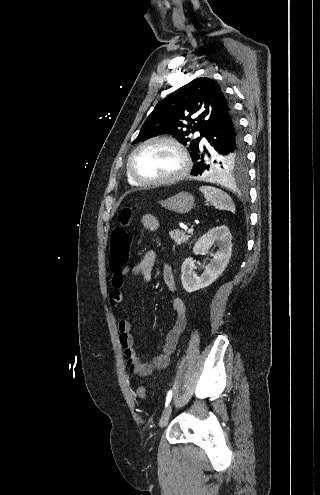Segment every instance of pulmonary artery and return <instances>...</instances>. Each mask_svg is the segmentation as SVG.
<instances>
[{
	"label": "pulmonary artery",
	"instance_id": "e3ab8cb5",
	"mask_svg": "<svg viewBox=\"0 0 320 495\" xmlns=\"http://www.w3.org/2000/svg\"><path fill=\"white\" fill-rule=\"evenodd\" d=\"M202 141H203L204 143H206V142H207V140H206L205 138H202Z\"/></svg>",
	"mask_w": 320,
	"mask_h": 495
}]
</instances>
